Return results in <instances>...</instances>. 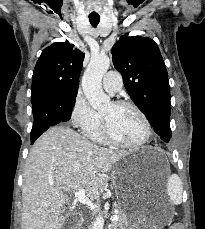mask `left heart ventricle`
I'll use <instances>...</instances> for the list:
<instances>
[{
    "mask_svg": "<svg viewBox=\"0 0 205 229\" xmlns=\"http://www.w3.org/2000/svg\"><path fill=\"white\" fill-rule=\"evenodd\" d=\"M101 114L107 118L113 136L119 141L133 143L144 136V124L132 108L115 106L110 102Z\"/></svg>",
    "mask_w": 205,
    "mask_h": 229,
    "instance_id": "left-heart-ventricle-1",
    "label": "left heart ventricle"
}]
</instances>
